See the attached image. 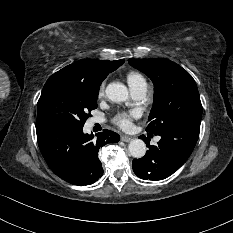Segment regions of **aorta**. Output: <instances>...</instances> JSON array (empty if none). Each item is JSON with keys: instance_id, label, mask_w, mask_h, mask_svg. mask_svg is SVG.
Returning <instances> with one entry per match:
<instances>
[{"instance_id": "aorta-1", "label": "aorta", "mask_w": 233, "mask_h": 233, "mask_svg": "<svg viewBox=\"0 0 233 233\" xmlns=\"http://www.w3.org/2000/svg\"><path fill=\"white\" fill-rule=\"evenodd\" d=\"M107 97L116 103L124 102L128 99L129 93L127 87L119 82H113L106 87ZM146 144L141 139H133L128 145V151L134 158H142L146 154Z\"/></svg>"}]
</instances>
